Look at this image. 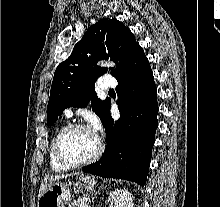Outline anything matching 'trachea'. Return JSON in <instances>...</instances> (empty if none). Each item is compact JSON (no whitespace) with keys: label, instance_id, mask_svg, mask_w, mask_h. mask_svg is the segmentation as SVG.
<instances>
[{"label":"trachea","instance_id":"1","mask_svg":"<svg viewBox=\"0 0 220 207\" xmlns=\"http://www.w3.org/2000/svg\"><path fill=\"white\" fill-rule=\"evenodd\" d=\"M109 92H114V90L112 89V90H109Z\"/></svg>","mask_w":220,"mask_h":207}]
</instances>
